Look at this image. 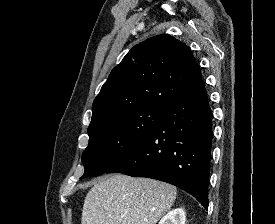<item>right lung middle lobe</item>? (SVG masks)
Instances as JSON below:
<instances>
[{
	"label": "right lung middle lobe",
	"instance_id": "right-lung-middle-lobe-1",
	"mask_svg": "<svg viewBox=\"0 0 275 224\" xmlns=\"http://www.w3.org/2000/svg\"><path fill=\"white\" fill-rule=\"evenodd\" d=\"M166 109L144 107L88 128L89 145L82 155L85 173L98 176L130 154L153 130Z\"/></svg>",
	"mask_w": 275,
	"mask_h": 224
}]
</instances>
